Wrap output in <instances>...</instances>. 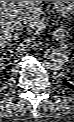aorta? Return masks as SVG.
Returning <instances> with one entry per match:
<instances>
[{
    "instance_id": "1",
    "label": "aorta",
    "mask_w": 74,
    "mask_h": 122,
    "mask_svg": "<svg viewBox=\"0 0 74 122\" xmlns=\"http://www.w3.org/2000/svg\"><path fill=\"white\" fill-rule=\"evenodd\" d=\"M42 60L50 71L60 70L65 64L63 53L54 47H48L44 50Z\"/></svg>"
}]
</instances>
